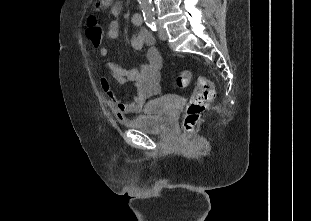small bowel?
Returning a JSON list of instances; mask_svg holds the SVG:
<instances>
[{
  "label": "small bowel",
  "instance_id": "c3829d8e",
  "mask_svg": "<svg viewBox=\"0 0 311 221\" xmlns=\"http://www.w3.org/2000/svg\"><path fill=\"white\" fill-rule=\"evenodd\" d=\"M121 11L122 5L120 3L112 4L110 7L113 20L109 23L106 31V37L109 40H116L119 37L120 27L116 18L121 14ZM142 23L143 20L139 14L132 16V24L138 29L131 39L132 48L138 51L144 45L148 46L146 62L139 67L121 66L108 58L109 50L107 47L103 46L99 49V55L104 59L105 69L116 82L121 85L132 84L135 89L131 101L127 102L118 98L106 76L101 78V87L106 94L108 104L119 119L128 114L141 112L146 100L160 91V70L164 58L158 47L155 46L151 34L141 28Z\"/></svg>",
  "mask_w": 311,
  "mask_h": 221
}]
</instances>
